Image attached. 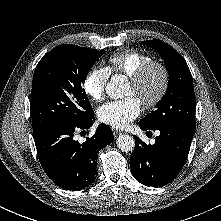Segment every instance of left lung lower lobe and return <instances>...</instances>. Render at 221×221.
Returning a JSON list of instances; mask_svg holds the SVG:
<instances>
[{
  "label": "left lung lower lobe",
  "instance_id": "1",
  "mask_svg": "<svg viewBox=\"0 0 221 221\" xmlns=\"http://www.w3.org/2000/svg\"><path fill=\"white\" fill-rule=\"evenodd\" d=\"M142 130L160 131L156 143L145 144L134 136L135 148L130 157L135 179L145 186H164L174 180L187 159L195 130L179 124L150 129L141 122Z\"/></svg>",
  "mask_w": 221,
  "mask_h": 221
}]
</instances>
